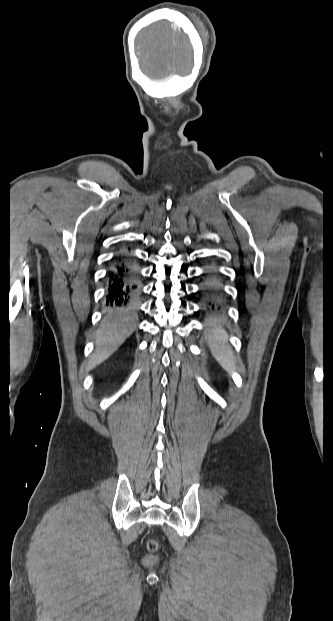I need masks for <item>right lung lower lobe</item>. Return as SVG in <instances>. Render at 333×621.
<instances>
[{
	"mask_svg": "<svg viewBox=\"0 0 333 621\" xmlns=\"http://www.w3.org/2000/svg\"><path fill=\"white\" fill-rule=\"evenodd\" d=\"M107 277L106 305L123 309L135 307L140 293V273L132 257L124 252L117 255Z\"/></svg>",
	"mask_w": 333,
	"mask_h": 621,
	"instance_id": "obj_1",
	"label": "right lung lower lobe"
}]
</instances>
